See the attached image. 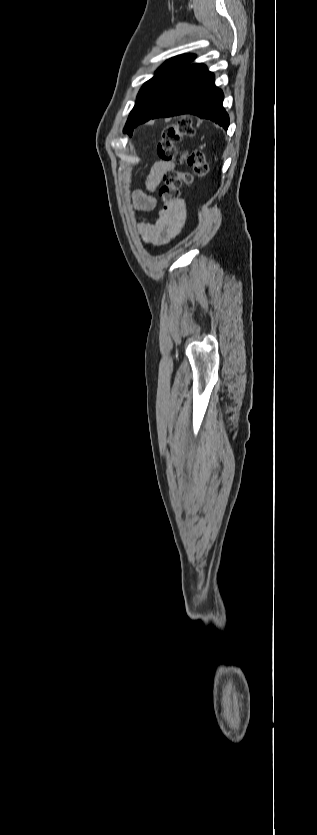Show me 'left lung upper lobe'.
<instances>
[{"mask_svg": "<svg viewBox=\"0 0 317 835\" xmlns=\"http://www.w3.org/2000/svg\"><path fill=\"white\" fill-rule=\"evenodd\" d=\"M196 55L184 54L167 60L154 77L145 82L137 95L136 104L126 122L124 133L130 136L133 129L146 122L165 102L175 84L189 67Z\"/></svg>", "mask_w": 317, "mask_h": 835, "instance_id": "left-lung-upper-lobe-1", "label": "left lung upper lobe"}]
</instances>
